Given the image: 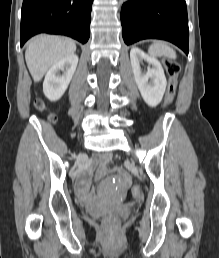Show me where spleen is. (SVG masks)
I'll use <instances>...</instances> for the list:
<instances>
[{"label":"spleen","instance_id":"obj_1","mask_svg":"<svg viewBox=\"0 0 219 258\" xmlns=\"http://www.w3.org/2000/svg\"><path fill=\"white\" fill-rule=\"evenodd\" d=\"M149 54L153 57H167L170 59L176 58L175 50L162 41L154 42L148 50Z\"/></svg>","mask_w":219,"mask_h":258}]
</instances>
